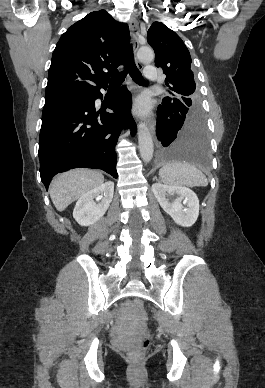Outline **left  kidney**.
<instances>
[{"label":"left kidney","instance_id":"left-kidney-1","mask_svg":"<svg viewBox=\"0 0 265 388\" xmlns=\"http://www.w3.org/2000/svg\"><path fill=\"white\" fill-rule=\"evenodd\" d=\"M152 192L164 212L179 226H193L199 216V200L189 188L153 184Z\"/></svg>","mask_w":265,"mask_h":388}]
</instances>
